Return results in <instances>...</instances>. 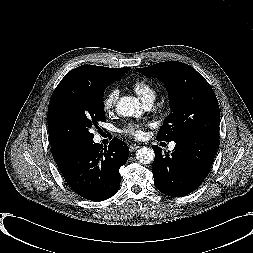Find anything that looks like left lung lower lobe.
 Instances as JSON below:
<instances>
[{"label":"left lung lower lobe","instance_id":"obj_1","mask_svg":"<svg viewBox=\"0 0 253 253\" xmlns=\"http://www.w3.org/2000/svg\"><path fill=\"white\" fill-rule=\"evenodd\" d=\"M218 142L219 138L213 135L188 136L175 140L172 153L164 154L157 145L152 146L155 152L152 164L155 187L172 197L193 192L207 176Z\"/></svg>","mask_w":253,"mask_h":253}]
</instances>
